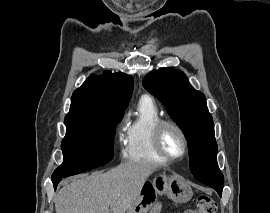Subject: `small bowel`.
Segmentation results:
<instances>
[{
	"label": "small bowel",
	"instance_id": "c3829d8e",
	"mask_svg": "<svg viewBox=\"0 0 270 213\" xmlns=\"http://www.w3.org/2000/svg\"><path fill=\"white\" fill-rule=\"evenodd\" d=\"M162 206H163V204H162L161 202L156 203V204L152 207L150 213H161Z\"/></svg>",
	"mask_w": 270,
	"mask_h": 213
}]
</instances>
